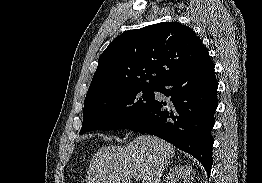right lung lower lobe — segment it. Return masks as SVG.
<instances>
[{"mask_svg": "<svg viewBox=\"0 0 262 183\" xmlns=\"http://www.w3.org/2000/svg\"><path fill=\"white\" fill-rule=\"evenodd\" d=\"M218 82L214 63L174 75L156 87L168 97L154 99L127 128L160 137L201 162L207 174L212 167L214 112Z\"/></svg>", "mask_w": 262, "mask_h": 183, "instance_id": "obj_1", "label": "right lung lower lobe"}]
</instances>
